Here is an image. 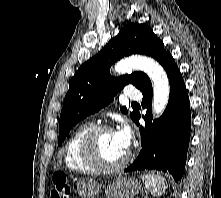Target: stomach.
<instances>
[{"instance_id":"stomach-1","label":"stomach","mask_w":221,"mask_h":198,"mask_svg":"<svg viewBox=\"0 0 221 198\" xmlns=\"http://www.w3.org/2000/svg\"><path fill=\"white\" fill-rule=\"evenodd\" d=\"M104 190L106 198H133L141 189L134 178L118 177L107 186L93 179H83L77 183V192L81 198H96Z\"/></svg>"}]
</instances>
